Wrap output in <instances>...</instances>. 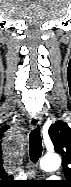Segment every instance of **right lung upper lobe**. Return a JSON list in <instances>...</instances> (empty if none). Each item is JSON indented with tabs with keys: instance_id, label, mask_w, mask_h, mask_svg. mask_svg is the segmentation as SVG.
Returning <instances> with one entry per match:
<instances>
[{
	"instance_id": "cb5924a9",
	"label": "right lung upper lobe",
	"mask_w": 71,
	"mask_h": 187,
	"mask_svg": "<svg viewBox=\"0 0 71 187\" xmlns=\"http://www.w3.org/2000/svg\"><path fill=\"white\" fill-rule=\"evenodd\" d=\"M7 129H9V126H7V125L0 128V134H1V136L3 135V133H4Z\"/></svg>"
}]
</instances>
